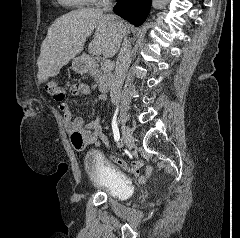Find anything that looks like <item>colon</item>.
<instances>
[{"mask_svg":"<svg viewBox=\"0 0 240 238\" xmlns=\"http://www.w3.org/2000/svg\"><path fill=\"white\" fill-rule=\"evenodd\" d=\"M45 90L50 96H52L58 102H62L64 100L65 89L63 86H60L56 82L51 81L46 83ZM83 141L84 136L81 133L76 132L72 135V142L76 146H81L83 144Z\"/></svg>","mask_w":240,"mask_h":238,"instance_id":"colon-1","label":"colon"}]
</instances>
